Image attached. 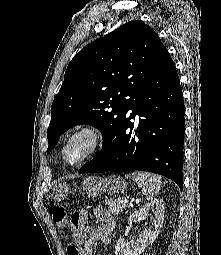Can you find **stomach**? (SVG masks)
<instances>
[{"label":"stomach","instance_id":"0dacf381","mask_svg":"<svg viewBox=\"0 0 221 255\" xmlns=\"http://www.w3.org/2000/svg\"><path fill=\"white\" fill-rule=\"evenodd\" d=\"M81 189L89 198H95L104 193H123L126 189V182L119 176H110L108 178L89 176L84 179ZM70 191L66 183L58 184L54 186L50 196L53 200L59 202L66 198Z\"/></svg>","mask_w":221,"mask_h":255}]
</instances>
